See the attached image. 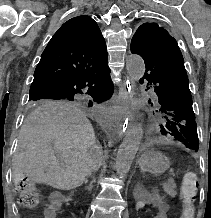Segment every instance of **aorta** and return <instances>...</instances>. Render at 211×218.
Segmentation results:
<instances>
[{
	"label": "aorta",
	"mask_w": 211,
	"mask_h": 218,
	"mask_svg": "<svg viewBox=\"0 0 211 218\" xmlns=\"http://www.w3.org/2000/svg\"><path fill=\"white\" fill-rule=\"evenodd\" d=\"M126 68L130 78L137 82L145 73V64L138 55H130L126 61ZM143 130L140 125L133 127L125 136L116 155V172L125 177L133 163L141 143Z\"/></svg>",
	"instance_id": "762f6f07"
}]
</instances>
